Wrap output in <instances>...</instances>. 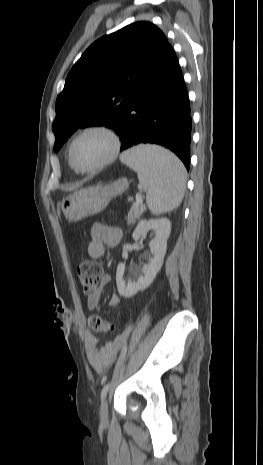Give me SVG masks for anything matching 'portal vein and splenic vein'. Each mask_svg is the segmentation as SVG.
Listing matches in <instances>:
<instances>
[{
	"label": "portal vein and splenic vein",
	"instance_id": "portal-vein-and-splenic-vein-1",
	"mask_svg": "<svg viewBox=\"0 0 263 465\" xmlns=\"http://www.w3.org/2000/svg\"><path fill=\"white\" fill-rule=\"evenodd\" d=\"M142 203V197L140 195V193H137L136 194V202L134 203V205H139Z\"/></svg>",
	"mask_w": 263,
	"mask_h": 465
}]
</instances>
